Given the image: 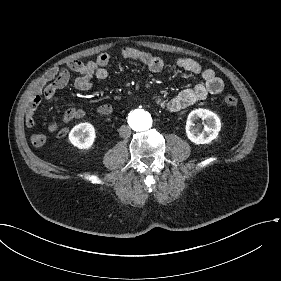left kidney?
Here are the masks:
<instances>
[{"label": "left kidney", "mask_w": 281, "mask_h": 281, "mask_svg": "<svg viewBox=\"0 0 281 281\" xmlns=\"http://www.w3.org/2000/svg\"><path fill=\"white\" fill-rule=\"evenodd\" d=\"M198 118L205 119L207 125L204 127V133H199L195 126V122ZM221 130L220 118L214 112L198 108L190 112L186 122V136L196 145H205L211 143L218 137V133Z\"/></svg>", "instance_id": "1"}]
</instances>
